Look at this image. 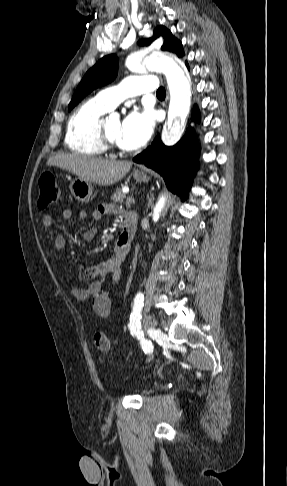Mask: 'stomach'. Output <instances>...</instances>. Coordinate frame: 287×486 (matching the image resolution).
Segmentation results:
<instances>
[{
	"label": "stomach",
	"mask_w": 287,
	"mask_h": 486,
	"mask_svg": "<svg viewBox=\"0 0 287 486\" xmlns=\"http://www.w3.org/2000/svg\"><path fill=\"white\" fill-rule=\"evenodd\" d=\"M132 175L137 182L148 181V176L144 172L136 170ZM69 189L74 198L82 203L88 202L93 193L92 182L80 178L72 180Z\"/></svg>",
	"instance_id": "1"
}]
</instances>
